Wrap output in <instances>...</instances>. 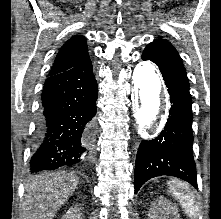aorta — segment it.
I'll list each match as a JSON object with an SVG mask.
<instances>
[{"mask_svg": "<svg viewBox=\"0 0 221 219\" xmlns=\"http://www.w3.org/2000/svg\"><path fill=\"white\" fill-rule=\"evenodd\" d=\"M134 119L139 133L145 136L146 129L159 118L164 106L165 94L160 76L149 61H141L133 72Z\"/></svg>", "mask_w": 221, "mask_h": 219, "instance_id": "762f6f07", "label": "aorta"}]
</instances>
